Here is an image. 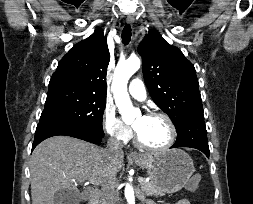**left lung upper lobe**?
<instances>
[{
  "label": "left lung upper lobe",
  "instance_id": "5c2ea615",
  "mask_svg": "<svg viewBox=\"0 0 253 204\" xmlns=\"http://www.w3.org/2000/svg\"><path fill=\"white\" fill-rule=\"evenodd\" d=\"M145 84L155 102L179 129L193 114L203 112L195 68L180 49L151 31L138 46Z\"/></svg>",
  "mask_w": 253,
  "mask_h": 204
}]
</instances>
